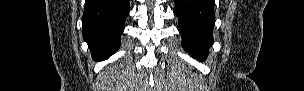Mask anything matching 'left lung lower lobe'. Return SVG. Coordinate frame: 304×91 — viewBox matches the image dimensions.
Listing matches in <instances>:
<instances>
[{
  "label": "left lung lower lobe",
  "instance_id": "left-lung-lower-lobe-1",
  "mask_svg": "<svg viewBox=\"0 0 304 91\" xmlns=\"http://www.w3.org/2000/svg\"><path fill=\"white\" fill-rule=\"evenodd\" d=\"M174 3L182 46L194 58L204 60L213 43L214 0H174Z\"/></svg>",
  "mask_w": 304,
  "mask_h": 91
}]
</instances>
